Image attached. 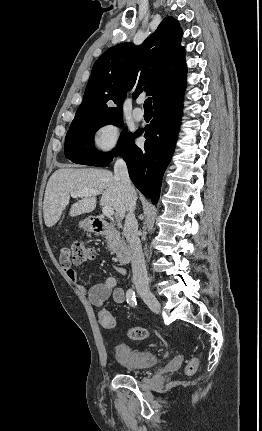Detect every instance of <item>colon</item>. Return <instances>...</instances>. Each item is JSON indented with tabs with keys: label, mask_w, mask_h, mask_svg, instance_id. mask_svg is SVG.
<instances>
[{
	"label": "colon",
	"mask_w": 262,
	"mask_h": 431,
	"mask_svg": "<svg viewBox=\"0 0 262 431\" xmlns=\"http://www.w3.org/2000/svg\"><path fill=\"white\" fill-rule=\"evenodd\" d=\"M94 250L88 244L82 241H73L66 244L62 250V257L64 261L71 262L74 264H81L92 260ZM99 323L104 329H113L115 327V320L112 315L107 311H102L99 314ZM148 332L146 329L140 326L130 327L128 330V337L131 340L141 341L146 339ZM199 366V359L197 357H191L185 367L187 375L194 374Z\"/></svg>",
	"instance_id": "5ec220e1"
}]
</instances>
